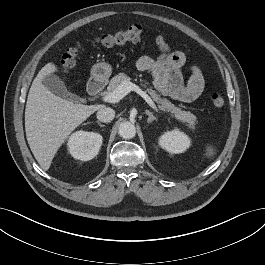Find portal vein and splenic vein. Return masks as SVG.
I'll return each instance as SVG.
<instances>
[{
    "label": "portal vein and splenic vein",
    "instance_id": "1",
    "mask_svg": "<svg viewBox=\"0 0 265 265\" xmlns=\"http://www.w3.org/2000/svg\"><path fill=\"white\" fill-rule=\"evenodd\" d=\"M131 91L138 93L155 111H158L152 99L139 86L130 81H124L113 92L108 93L102 97V100L108 103L119 102Z\"/></svg>",
    "mask_w": 265,
    "mask_h": 265
}]
</instances>
